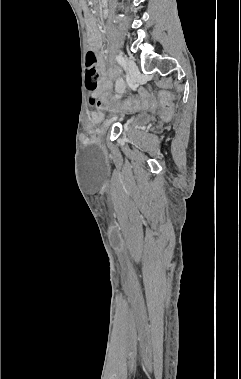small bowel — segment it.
Listing matches in <instances>:
<instances>
[{
    "instance_id": "c3829d8e",
    "label": "small bowel",
    "mask_w": 241,
    "mask_h": 379,
    "mask_svg": "<svg viewBox=\"0 0 241 379\" xmlns=\"http://www.w3.org/2000/svg\"><path fill=\"white\" fill-rule=\"evenodd\" d=\"M90 40L94 49H98L100 46V37L95 31L92 32ZM99 70L101 72L103 80V85L101 89L98 88L96 83H91L90 86H86V93H89L90 95L88 100L90 110H101L105 107V102L99 101V96H101V91L103 89H105L106 87H111L110 82L106 81L105 66L101 61L99 62ZM115 115H118V112H115ZM94 118L98 119L99 116L95 115Z\"/></svg>"
}]
</instances>
